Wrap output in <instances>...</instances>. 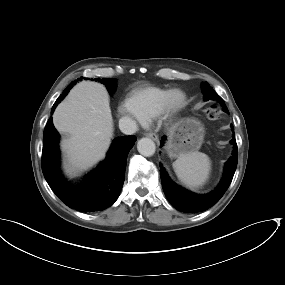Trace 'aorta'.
I'll use <instances>...</instances> for the list:
<instances>
[{
	"instance_id": "1",
	"label": "aorta",
	"mask_w": 285,
	"mask_h": 285,
	"mask_svg": "<svg viewBox=\"0 0 285 285\" xmlns=\"http://www.w3.org/2000/svg\"><path fill=\"white\" fill-rule=\"evenodd\" d=\"M137 150L141 155L150 157L155 153L156 145L150 138H141L137 143Z\"/></svg>"
}]
</instances>
